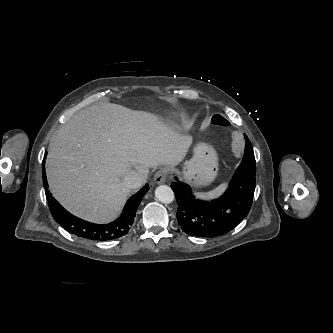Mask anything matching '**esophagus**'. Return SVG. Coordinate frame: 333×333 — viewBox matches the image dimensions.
Segmentation results:
<instances>
[{
	"label": "esophagus",
	"mask_w": 333,
	"mask_h": 333,
	"mask_svg": "<svg viewBox=\"0 0 333 333\" xmlns=\"http://www.w3.org/2000/svg\"><path fill=\"white\" fill-rule=\"evenodd\" d=\"M167 178V171L165 169H161L156 172L154 175V180L158 184H163L166 181Z\"/></svg>",
	"instance_id": "34e87169"
}]
</instances>
